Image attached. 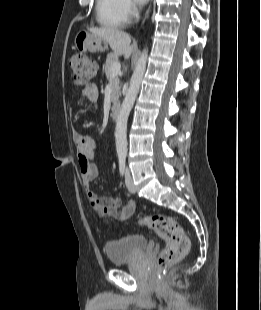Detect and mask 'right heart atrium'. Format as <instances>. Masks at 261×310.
Wrapping results in <instances>:
<instances>
[{
    "label": "right heart atrium",
    "instance_id": "right-heart-atrium-1",
    "mask_svg": "<svg viewBox=\"0 0 261 310\" xmlns=\"http://www.w3.org/2000/svg\"><path fill=\"white\" fill-rule=\"evenodd\" d=\"M121 9L127 21L132 19L137 11L132 0H121Z\"/></svg>",
    "mask_w": 261,
    "mask_h": 310
}]
</instances>
